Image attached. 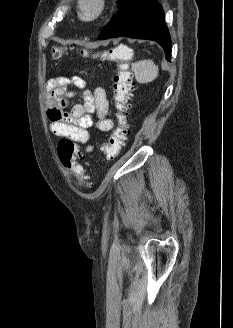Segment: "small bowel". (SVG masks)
<instances>
[{
	"label": "small bowel",
	"mask_w": 233,
	"mask_h": 328,
	"mask_svg": "<svg viewBox=\"0 0 233 328\" xmlns=\"http://www.w3.org/2000/svg\"><path fill=\"white\" fill-rule=\"evenodd\" d=\"M85 81L80 76L71 78L59 76L47 82L48 111L52 133L67 137L74 142L85 144L86 151L92 152L89 142V128L95 127L102 132L112 130L114 123L108 117L109 102L105 90L97 87L93 92L84 90ZM83 91V102L74 104L70 112L64 107L77 91ZM96 114V121L92 115Z\"/></svg>",
	"instance_id": "c3829d8e"
}]
</instances>
